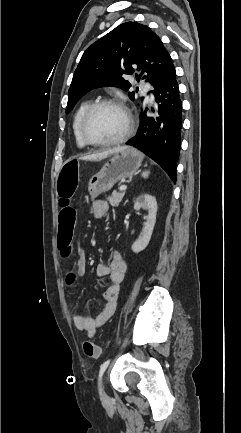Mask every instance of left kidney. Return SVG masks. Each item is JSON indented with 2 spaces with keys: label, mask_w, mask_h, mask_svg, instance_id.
Masks as SVG:
<instances>
[{
  "label": "left kidney",
  "mask_w": 241,
  "mask_h": 433,
  "mask_svg": "<svg viewBox=\"0 0 241 433\" xmlns=\"http://www.w3.org/2000/svg\"><path fill=\"white\" fill-rule=\"evenodd\" d=\"M141 208L147 210L148 214L147 216H145L146 223L144 228L142 229L141 235L131 246V249L134 253H139L140 251L144 250L149 244L156 222V198L149 194L140 195L134 203V209L140 210Z\"/></svg>",
  "instance_id": "obj_1"
}]
</instances>
